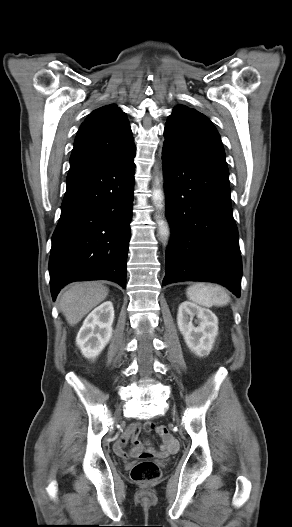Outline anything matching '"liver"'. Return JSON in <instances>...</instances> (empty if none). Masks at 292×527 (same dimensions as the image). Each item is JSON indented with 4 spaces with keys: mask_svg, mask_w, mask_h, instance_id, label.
<instances>
[{
    "mask_svg": "<svg viewBox=\"0 0 292 527\" xmlns=\"http://www.w3.org/2000/svg\"><path fill=\"white\" fill-rule=\"evenodd\" d=\"M109 289L99 282L73 284L61 297L60 308L69 325L74 326L104 301Z\"/></svg>",
    "mask_w": 292,
    "mask_h": 527,
    "instance_id": "obj_1",
    "label": "liver"
}]
</instances>
